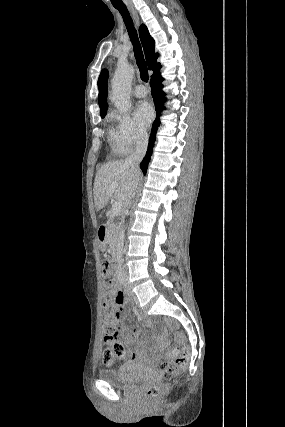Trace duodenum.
<instances>
[{
    "instance_id": "obj_1",
    "label": "duodenum",
    "mask_w": 285,
    "mask_h": 427,
    "mask_svg": "<svg viewBox=\"0 0 285 427\" xmlns=\"http://www.w3.org/2000/svg\"><path fill=\"white\" fill-rule=\"evenodd\" d=\"M116 228L114 226H100L98 229V241L101 246L106 245V235L111 232H115Z\"/></svg>"
}]
</instances>
